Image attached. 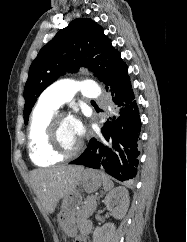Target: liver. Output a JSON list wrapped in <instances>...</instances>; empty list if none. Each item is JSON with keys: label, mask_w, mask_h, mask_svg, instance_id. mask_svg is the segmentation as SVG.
I'll return each instance as SVG.
<instances>
[{"label": "liver", "mask_w": 187, "mask_h": 242, "mask_svg": "<svg viewBox=\"0 0 187 242\" xmlns=\"http://www.w3.org/2000/svg\"><path fill=\"white\" fill-rule=\"evenodd\" d=\"M83 170L81 166L63 165L32 172V186L47 212L53 213L59 200L76 189Z\"/></svg>", "instance_id": "liver-1"}]
</instances>
